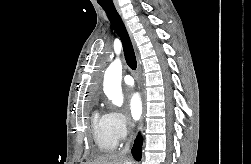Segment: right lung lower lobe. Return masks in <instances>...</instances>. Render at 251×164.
Wrapping results in <instances>:
<instances>
[{"label": "right lung lower lobe", "instance_id": "obj_1", "mask_svg": "<svg viewBox=\"0 0 251 164\" xmlns=\"http://www.w3.org/2000/svg\"><path fill=\"white\" fill-rule=\"evenodd\" d=\"M141 150H142V138L141 136H137L134 146L132 148V155L136 160L141 159Z\"/></svg>", "mask_w": 251, "mask_h": 164}]
</instances>
